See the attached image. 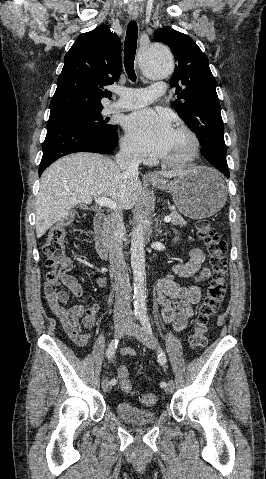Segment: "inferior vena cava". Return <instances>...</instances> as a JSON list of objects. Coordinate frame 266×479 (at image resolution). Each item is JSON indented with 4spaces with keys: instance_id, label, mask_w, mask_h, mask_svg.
Instances as JSON below:
<instances>
[{
    "instance_id": "inferior-vena-cava-1",
    "label": "inferior vena cava",
    "mask_w": 266,
    "mask_h": 479,
    "mask_svg": "<svg viewBox=\"0 0 266 479\" xmlns=\"http://www.w3.org/2000/svg\"><path fill=\"white\" fill-rule=\"evenodd\" d=\"M115 161L121 170L136 175L138 174L141 155L130 143H121L120 151L115 156ZM105 232L110 266L115 281L114 317L116 319H126L131 316V286L123 255L122 239L125 234V227L121 213L114 212L111 214Z\"/></svg>"
}]
</instances>
